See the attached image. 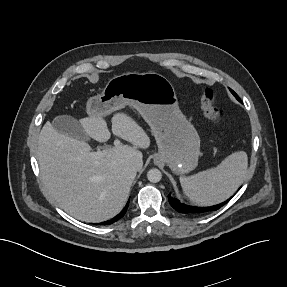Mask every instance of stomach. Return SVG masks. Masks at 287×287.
Instances as JSON below:
<instances>
[{
  "label": "stomach",
  "instance_id": "1",
  "mask_svg": "<svg viewBox=\"0 0 287 287\" xmlns=\"http://www.w3.org/2000/svg\"><path fill=\"white\" fill-rule=\"evenodd\" d=\"M135 108L150 126L158 145L156 164H167L173 173L194 170L200 154V137L178 106L171 82L161 74L126 73L108 81L102 93L89 99L90 116Z\"/></svg>",
  "mask_w": 287,
  "mask_h": 287
}]
</instances>
